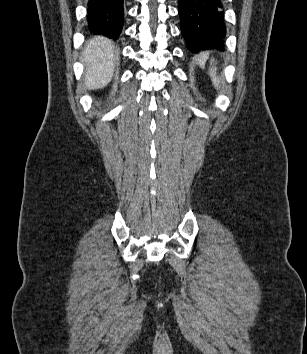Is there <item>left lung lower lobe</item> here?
<instances>
[{
	"instance_id": "0a47b994",
	"label": "left lung lower lobe",
	"mask_w": 307,
	"mask_h": 354,
	"mask_svg": "<svg viewBox=\"0 0 307 354\" xmlns=\"http://www.w3.org/2000/svg\"><path fill=\"white\" fill-rule=\"evenodd\" d=\"M181 32L193 52L222 49L226 34L221 0H178Z\"/></svg>"
}]
</instances>
